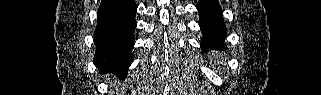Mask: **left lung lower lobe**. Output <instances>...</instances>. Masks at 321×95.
Here are the masks:
<instances>
[{"instance_id": "1", "label": "left lung lower lobe", "mask_w": 321, "mask_h": 95, "mask_svg": "<svg viewBox=\"0 0 321 95\" xmlns=\"http://www.w3.org/2000/svg\"><path fill=\"white\" fill-rule=\"evenodd\" d=\"M199 25L203 33L202 48H218L223 45L226 28L218 0H200L197 4Z\"/></svg>"}]
</instances>
